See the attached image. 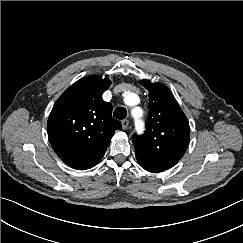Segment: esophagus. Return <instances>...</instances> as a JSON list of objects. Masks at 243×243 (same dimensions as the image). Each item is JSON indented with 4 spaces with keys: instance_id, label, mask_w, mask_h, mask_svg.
Masks as SVG:
<instances>
[{
    "instance_id": "34e87169",
    "label": "esophagus",
    "mask_w": 243,
    "mask_h": 243,
    "mask_svg": "<svg viewBox=\"0 0 243 243\" xmlns=\"http://www.w3.org/2000/svg\"><path fill=\"white\" fill-rule=\"evenodd\" d=\"M122 128L125 130L128 128L129 121L127 119L122 120Z\"/></svg>"
}]
</instances>
